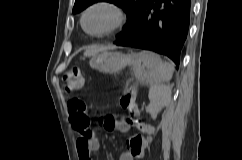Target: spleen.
<instances>
[{
  "label": "spleen",
  "mask_w": 242,
  "mask_h": 160,
  "mask_svg": "<svg viewBox=\"0 0 242 160\" xmlns=\"http://www.w3.org/2000/svg\"><path fill=\"white\" fill-rule=\"evenodd\" d=\"M151 58L152 78L149 90L150 105L148 111L157 113L159 109L168 103L171 98V88L165 82L172 78L174 67L170 63L163 62L161 58L154 54H149Z\"/></svg>",
  "instance_id": "obj_1"
}]
</instances>
